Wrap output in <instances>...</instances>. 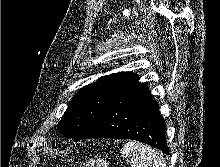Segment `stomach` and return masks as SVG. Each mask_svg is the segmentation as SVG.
Here are the masks:
<instances>
[{"label":"stomach","instance_id":"1","mask_svg":"<svg viewBox=\"0 0 220 167\" xmlns=\"http://www.w3.org/2000/svg\"><path fill=\"white\" fill-rule=\"evenodd\" d=\"M81 167H109V162L106 159L96 157L86 160Z\"/></svg>","mask_w":220,"mask_h":167}]
</instances>
